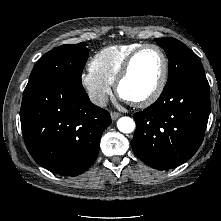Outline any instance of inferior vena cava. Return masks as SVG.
<instances>
[{
	"label": "inferior vena cava",
	"instance_id": "obj_1",
	"mask_svg": "<svg viewBox=\"0 0 221 221\" xmlns=\"http://www.w3.org/2000/svg\"><path fill=\"white\" fill-rule=\"evenodd\" d=\"M91 102L99 107H105L108 102V96L104 92H93L89 94Z\"/></svg>",
	"mask_w": 221,
	"mask_h": 221
}]
</instances>
